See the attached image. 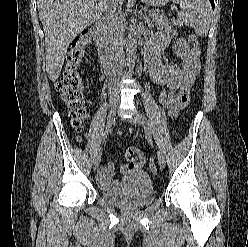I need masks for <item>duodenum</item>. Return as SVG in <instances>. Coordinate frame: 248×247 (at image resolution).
<instances>
[{"instance_id": "obj_1", "label": "duodenum", "mask_w": 248, "mask_h": 247, "mask_svg": "<svg viewBox=\"0 0 248 247\" xmlns=\"http://www.w3.org/2000/svg\"><path fill=\"white\" fill-rule=\"evenodd\" d=\"M105 28H106L105 21L98 20L94 24L91 34H93L94 42L99 52L102 68L106 72H111L114 65V58L107 46Z\"/></svg>"}]
</instances>
